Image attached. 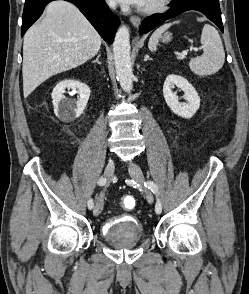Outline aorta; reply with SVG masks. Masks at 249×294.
I'll return each instance as SVG.
<instances>
[{
	"mask_svg": "<svg viewBox=\"0 0 249 294\" xmlns=\"http://www.w3.org/2000/svg\"><path fill=\"white\" fill-rule=\"evenodd\" d=\"M130 35L127 26L119 27L113 42L114 64L117 80L122 89L130 92L133 88V72L130 55Z\"/></svg>",
	"mask_w": 249,
	"mask_h": 294,
	"instance_id": "obj_1",
	"label": "aorta"
}]
</instances>
